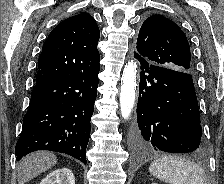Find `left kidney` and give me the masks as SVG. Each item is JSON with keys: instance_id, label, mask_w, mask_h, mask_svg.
I'll list each match as a JSON object with an SVG mask.
<instances>
[{"instance_id": "5707ae66", "label": "left kidney", "mask_w": 224, "mask_h": 184, "mask_svg": "<svg viewBox=\"0 0 224 184\" xmlns=\"http://www.w3.org/2000/svg\"><path fill=\"white\" fill-rule=\"evenodd\" d=\"M152 184H158V183H156V182H153Z\"/></svg>"}]
</instances>
